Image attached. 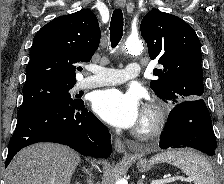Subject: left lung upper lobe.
Returning <instances> with one entry per match:
<instances>
[{"mask_svg":"<svg viewBox=\"0 0 224 184\" xmlns=\"http://www.w3.org/2000/svg\"><path fill=\"white\" fill-rule=\"evenodd\" d=\"M140 29L150 58L160 65L153 70L158 79L150 83L155 94L171 104L201 99V44L194 29L181 18L155 9L144 16Z\"/></svg>","mask_w":224,"mask_h":184,"instance_id":"left-lung-upper-lobe-1","label":"left lung upper lobe"}]
</instances>
